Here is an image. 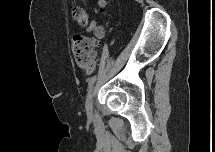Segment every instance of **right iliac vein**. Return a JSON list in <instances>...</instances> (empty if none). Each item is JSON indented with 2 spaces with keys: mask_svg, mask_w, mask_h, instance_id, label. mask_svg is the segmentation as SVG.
Wrapping results in <instances>:
<instances>
[{
  "mask_svg": "<svg viewBox=\"0 0 215 152\" xmlns=\"http://www.w3.org/2000/svg\"><path fill=\"white\" fill-rule=\"evenodd\" d=\"M92 98H93V90H91L87 96V99H86V104H85V107H86V112L87 114L90 113V110H91V105H92Z\"/></svg>",
  "mask_w": 215,
  "mask_h": 152,
  "instance_id": "1",
  "label": "right iliac vein"
}]
</instances>
